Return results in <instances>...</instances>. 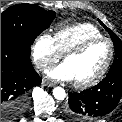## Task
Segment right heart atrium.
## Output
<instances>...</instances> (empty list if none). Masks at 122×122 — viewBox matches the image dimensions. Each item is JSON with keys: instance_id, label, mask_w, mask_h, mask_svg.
I'll return each mask as SVG.
<instances>
[{"instance_id": "right-heart-atrium-1", "label": "right heart atrium", "mask_w": 122, "mask_h": 122, "mask_svg": "<svg viewBox=\"0 0 122 122\" xmlns=\"http://www.w3.org/2000/svg\"><path fill=\"white\" fill-rule=\"evenodd\" d=\"M32 57L36 67L41 71L47 70L59 60L61 54L52 35L44 33L37 37L32 48Z\"/></svg>"}]
</instances>
